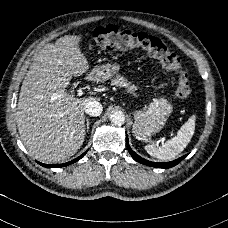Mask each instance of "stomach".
<instances>
[{
  "mask_svg": "<svg viewBox=\"0 0 228 228\" xmlns=\"http://www.w3.org/2000/svg\"><path fill=\"white\" fill-rule=\"evenodd\" d=\"M120 66L104 64L95 66L87 77L91 80L106 81L118 74ZM173 111V106L165 98H155L142 110L134 112L133 132L142 140H147L151 135L158 133L165 125Z\"/></svg>",
  "mask_w": 228,
  "mask_h": 228,
  "instance_id": "1",
  "label": "stomach"
}]
</instances>
